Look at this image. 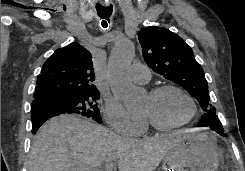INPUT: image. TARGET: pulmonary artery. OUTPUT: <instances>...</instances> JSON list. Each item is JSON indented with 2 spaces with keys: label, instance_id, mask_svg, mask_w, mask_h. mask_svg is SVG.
I'll return each instance as SVG.
<instances>
[{
  "label": "pulmonary artery",
  "instance_id": "1",
  "mask_svg": "<svg viewBox=\"0 0 245 171\" xmlns=\"http://www.w3.org/2000/svg\"><path fill=\"white\" fill-rule=\"evenodd\" d=\"M128 76L130 80L139 84H146L151 79L149 68L142 63H134L129 69Z\"/></svg>",
  "mask_w": 245,
  "mask_h": 171
}]
</instances>
